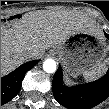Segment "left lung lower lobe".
Listing matches in <instances>:
<instances>
[{
	"mask_svg": "<svg viewBox=\"0 0 109 109\" xmlns=\"http://www.w3.org/2000/svg\"><path fill=\"white\" fill-rule=\"evenodd\" d=\"M104 34L109 39V34ZM52 91L55 99L68 109H91L109 96V70L94 82L68 87L63 85L59 66L53 77Z\"/></svg>",
	"mask_w": 109,
	"mask_h": 109,
	"instance_id": "1",
	"label": "left lung lower lobe"
}]
</instances>
